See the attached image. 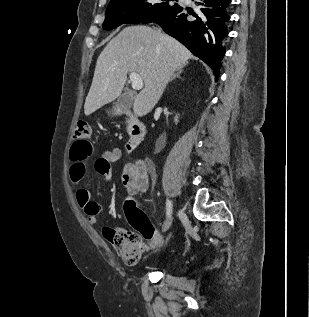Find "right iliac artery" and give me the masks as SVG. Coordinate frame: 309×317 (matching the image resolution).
Instances as JSON below:
<instances>
[{"mask_svg": "<svg viewBox=\"0 0 309 317\" xmlns=\"http://www.w3.org/2000/svg\"><path fill=\"white\" fill-rule=\"evenodd\" d=\"M172 213V204L171 201L167 199L166 201V215L169 217Z\"/></svg>", "mask_w": 309, "mask_h": 317, "instance_id": "1", "label": "right iliac artery"}]
</instances>
